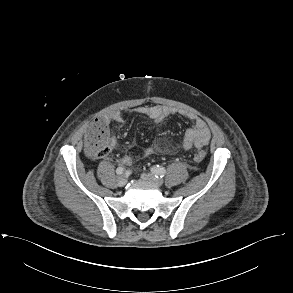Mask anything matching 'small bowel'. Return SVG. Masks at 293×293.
<instances>
[{"instance_id":"1","label":"small bowel","mask_w":293,"mask_h":293,"mask_svg":"<svg viewBox=\"0 0 293 293\" xmlns=\"http://www.w3.org/2000/svg\"><path fill=\"white\" fill-rule=\"evenodd\" d=\"M176 110L159 105L144 106L134 109L130 114H136L148 117L155 124L162 123L170 115L175 114ZM183 116L188 118L192 122V126L186 131L182 146L185 150H190L193 147L202 148L207 145L211 139V133L207 127L205 121L193 114L181 112ZM127 113L122 111H110L107 112L103 119L108 123L119 122L126 118ZM116 145V141L114 146ZM160 152L162 154H168L169 148L164 145H157L156 147H150L143 151V155L150 156ZM122 164L129 165L132 163V157L129 155L123 156L120 160Z\"/></svg>"}]
</instances>
